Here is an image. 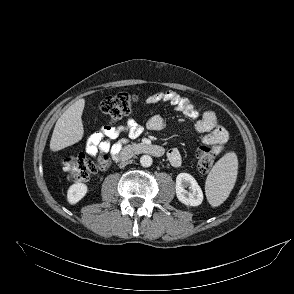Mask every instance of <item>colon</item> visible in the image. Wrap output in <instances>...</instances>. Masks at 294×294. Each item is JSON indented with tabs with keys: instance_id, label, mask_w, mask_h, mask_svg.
Listing matches in <instances>:
<instances>
[{
	"instance_id": "1",
	"label": "colon",
	"mask_w": 294,
	"mask_h": 294,
	"mask_svg": "<svg viewBox=\"0 0 294 294\" xmlns=\"http://www.w3.org/2000/svg\"><path fill=\"white\" fill-rule=\"evenodd\" d=\"M138 98L126 92H119L105 98L101 105V113L112 118H119L130 114ZM215 153L210 145L201 146L196 153V162L198 170L201 173H208L215 160ZM63 169L67 172L68 178L74 182L87 180L92 174L98 170L105 169L109 162L107 157H98L92 160L82 154L69 155L63 159Z\"/></svg>"
}]
</instances>
